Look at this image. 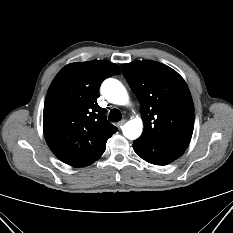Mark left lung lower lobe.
I'll return each instance as SVG.
<instances>
[{
    "label": "left lung lower lobe",
    "instance_id": "left-lung-lower-lobe-1",
    "mask_svg": "<svg viewBox=\"0 0 233 233\" xmlns=\"http://www.w3.org/2000/svg\"><path fill=\"white\" fill-rule=\"evenodd\" d=\"M133 148L145 161L154 165H167L180 157L187 146L137 139L134 141Z\"/></svg>",
    "mask_w": 233,
    "mask_h": 233
}]
</instances>
